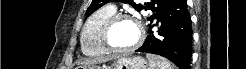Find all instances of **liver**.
I'll return each instance as SVG.
<instances>
[{"label": "liver", "instance_id": "liver-1", "mask_svg": "<svg viewBox=\"0 0 246 69\" xmlns=\"http://www.w3.org/2000/svg\"><path fill=\"white\" fill-rule=\"evenodd\" d=\"M106 59L103 58H97V59H92V60H86L84 61V65H88V64H95V63H100L105 61Z\"/></svg>", "mask_w": 246, "mask_h": 69}]
</instances>
